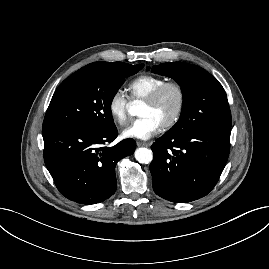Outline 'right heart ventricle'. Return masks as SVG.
Here are the masks:
<instances>
[{
  "label": "right heart ventricle",
  "mask_w": 269,
  "mask_h": 269,
  "mask_svg": "<svg viewBox=\"0 0 269 269\" xmlns=\"http://www.w3.org/2000/svg\"><path fill=\"white\" fill-rule=\"evenodd\" d=\"M165 82V79L160 76L151 74H142L131 80L127 85V91L131 99L143 100L155 88Z\"/></svg>",
  "instance_id": "right-heart-ventricle-1"
}]
</instances>
